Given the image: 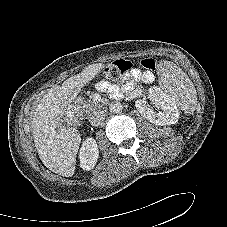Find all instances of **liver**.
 I'll use <instances>...</instances> for the list:
<instances>
[{
	"label": "liver",
	"mask_w": 227,
	"mask_h": 227,
	"mask_svg": "<svg viewBox=\"0 0 227 227\" xmlns=\"http://www.w3.org/2000/svg\"><path fill=\"white\" fill-rule=\"evenodd\" d=\"M105 68L102 63L87 66L62 85H53L36 105L31 127L34 144L42 163L52 172L71 177L81 143L77 129L62 125L70 103L81 89Z\"/></svg>",
	"instance_id": "obj_1"
}]
</instances>
